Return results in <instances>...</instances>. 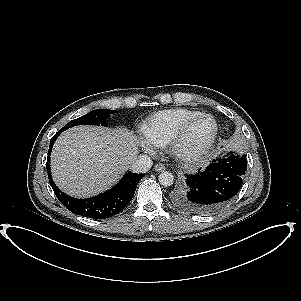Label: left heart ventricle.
Here are the masks:
<instances>
[{"label":"left heart ventricle","mask_w":301,"mask_h":301,"mask_svg":"<svg viewBox=\"0 0 301 301\" xmlns=\"http://www.w3.org/2000/svg\"><path fill=\"white\" fill-rule=\"evenodd\" d=\"M213 131V123L209 119L198 120L188 131L183 147L186 150L196 149L202 146Z\"/></svg>","instance_id":"1"}]
</instances>
